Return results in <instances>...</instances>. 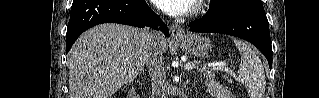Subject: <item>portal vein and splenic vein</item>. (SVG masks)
Instances as JSON below:
<instances>
[{"label": "portal vein and splenic vein", "mask_w": 319, "mask_h": 98, "mask_svg": "<svg viewBox=\"0 0 319 98\" xmlns=\"http://www.w3.org/2000/svg\"><path fill=\"white\" fill-rule=\"evenodd\" d=\"M214 67L217 68L218 70H226V68H224L220 64L214 65ZM194 68H195V64H193V63H187L184 66V69L187 70V71H191ZM227 72H229L231 75H234V73L232 71L227 70Z\"/></svg>", "instance_id": "18ae733b"}]
</instances>
